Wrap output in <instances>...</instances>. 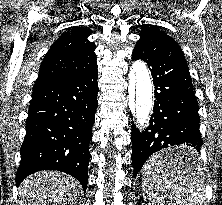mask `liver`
<instances>
[{
    "instance_id": "obj_1",
    "label": "liver",
    "mask_w": 222,
    "mask_h": 205,
    "mask_svg": "<svg viewBox=\"0 0 222 205\" xmlns=\"http://www.w3.org/2000/svg\"><path fill=\"white\" fill-rule=\"evenodd\" d=\"M81 189L79 182L67 174L37 172L20 185L18 205H75Z\"/></svg>"
}]
</instances>
